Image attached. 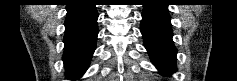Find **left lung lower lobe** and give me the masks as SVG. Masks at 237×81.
Listing matches in <instances>:
<instances>
[{
    "label": "left lung lower lobe",
    "instance_id": "0a47b994",
    "mask_svg": "<svg viewBox=\"0 0 237 81\" xmlns=\"http://www.w3.org/2000/svg\"><path fill=\"white\" fill-rule=\"evenodd\" d=\"M167 4L144 5L141 32L153 64L163 75L176 70L177 50L172 41V29Z\"/></svg>",
    "mask_w": 237,
    "mask_h": 81
}]
</instances>
